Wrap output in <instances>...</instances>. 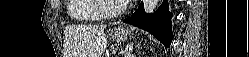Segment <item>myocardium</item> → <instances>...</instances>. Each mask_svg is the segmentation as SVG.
Returning a JSON list of instances; mask_svg holds the SVG:
<instances>
[{
  "label": "myocardium",
  "mask_w": 249,
  "mask_h": 57,
  "mask_svg": "<svg viewBox=\"0 0 249 57\" xmlns=\"http://www.w3.org/2000/svg\"><path fill=\"white\" fill-rule=\"evenodd\" d=\"M105 1L106 0H95L94 5L96 7V10L99 12L101 17L105 19L115 18L123 14L126 10V4L121 3L119 7L114 11H107L105 7Z\"/></svg>",
  "instance_id": "myocardium-1"
}]
</instances>
